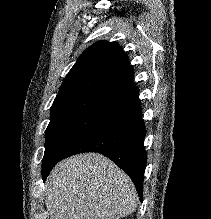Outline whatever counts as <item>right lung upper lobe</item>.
<instances>
[{"instance_id": "cb5924a9", "label": "right lung upper lobe", "mask_w": 211, "mask_h": 219, "mask_svg": "<svg viewBox=\"0 0 211 219\" xmlns=\"http://www.w3.org/2000/svg\"><path fill=\"white\" fill-rule=\"evenodd\" d=\"M126 53L114 42L99 41L74 64L53 103L93 98L121 106L138 96Z\"/></svg>"}]
</instances>
